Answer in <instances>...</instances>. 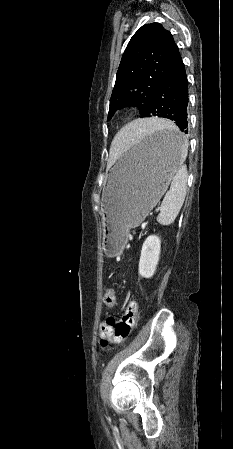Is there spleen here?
<instances>
[{"label": "spleen", "mask_w": 233, "mask_h": 449, "mask_svg": "<svg viewBox=\"0 0 233 449\" xmlns=\"http://www.w3.org/2000/svg\"><path fill=\"white\" fill-rule=\"evenodd\" d=\"M165 128H175L173 124L169 125H156L154 131L150 133H164ZM177 129V128H176ZM178 130V129H177ZM145 138H148V134H145ZM131 142L126 144L122 151L126 150ZM183 154L184 157L187 154L188 142L187 140H183ZM187 168L184 165H179L175 171V175L172 179L171 186L169 191L166 193L162 204L161 210L157 217V222L161 225H169L174 222L177 215L180 212L181 207L183 206L186 191H187Z\"/></svg>", "instance_id": "1"}]
</instances>
